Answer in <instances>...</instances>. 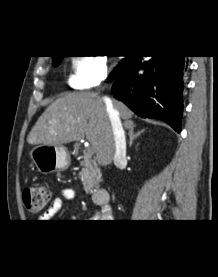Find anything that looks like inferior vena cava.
Segmentation results:
<instances>
[{
    "label": "inferior vena cava",
    "mask_w": 218,
    "mask_h": 277,
    "mask_svg": "<svg viewBox=\"0 0 218 277\" xmlns=\"http://www.w3.org/2000/svg\"><path fill=\"white\" fill-rule=\"evenodd\" d=\"M107 104V111L111 123L114 143H115V152L113 156L114 164L117 167H121L126 164V139L125 133L120 121L118 112L113 106V103L109 99H105Z\"/></svg>",
    "instance_id": "obj_1"
}]
</instances>
